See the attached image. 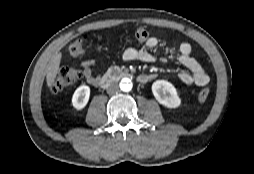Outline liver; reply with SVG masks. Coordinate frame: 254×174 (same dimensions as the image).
Here are the masks:
<instances>
[{
  "instance_id": "6515ba94",
  "label": "liver",
  "mask_w": 254,
  "mask_h": 174,
  "mask_svg": "<svg viewBox=\"0 0 254 174\" xmlns=\"http://www.w3.org/2000/svg\"><path fill=\"white\" fill-rule=\"evenodd\" d=\"M61 58H62V53H58L56 54V56L53 58L49 68H48V72L46 75V81H47V85L48 87H52L55 78L57 76V73L59 71V65L61 62Z\"/></svg>"
}]
</instances>
